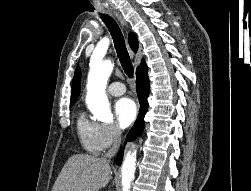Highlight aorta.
Here are the masks:
<instances>
[{
  "instance_id": "762f6f07",
  "label": "aorta",
  "mask_w": 251,
  "mask_h": 191,
  "mask_svg": "<svg viewBox=\"0 0 251 191\" xmlns=\"http://www.w3.org/2000/svg\"><path fill=\"white\" fill-rule=\"evenodd\" d=\"M113 70V64L110 60L103 62L102 56L93 54L90 60V72L88 74V84L86 103L88 109L93 113L95 119L100 121H111L113 113H111L110 103L105 94L107 80ZM136 165V153L127 151L122 163V189L130 191L131 181L134 179Z\"/></svg>"
}]
</instances>
